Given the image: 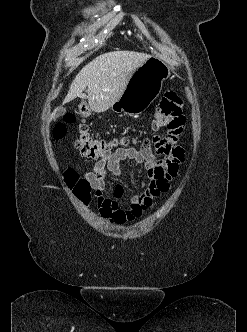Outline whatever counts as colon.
<instances>
[{"label": "colon", "instance_id": "1", "mask_svg": "<svg viewBox=\"0 0 247 332\" xmlns=\"http://www.w3.org/2000/svg\"><path fill=\"white\" fill-rule=\"evenodd\" d=\"M88 112L87 105L81 103L79 105V113L82 116H86ZM75 120L74 114L69 113L65 115L63 122L58 123L54 128V137L57 139L63 138L66 134V126L74 123ZM183 124L182 99L175 92L168 91L161 98L154 113L152 128L154 130L165 128L169 134H178L181 132ZM163 140V138L156 137V145H160ZM126 143V140L95 138L88 132L86 127L82 126L75 145L82 156L95 159L110 153L116 146ZM67 175L66 180L73 193L82 202L88 204L91 200L90 183L84 178H79L75 171H70Z\"/></svg>", "mask_w": 247, "mask_h": 332}]
</instances>
